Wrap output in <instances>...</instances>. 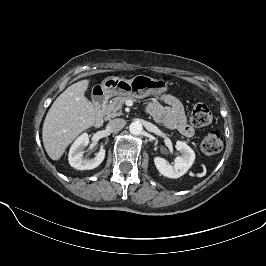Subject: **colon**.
Segmentation results:
<instances>
[{
    "instance_id": "5ec220e1",
    "label": "colon",
    "mask_w": 266,
    "mask_h": 266,
    "mask_svg": "<svg viewBox=\"0 0 266 266\" xmlns=\"http://www.w3.org/2000/svg\"><path fill=\"white\" fill-rule=\"evenodd\" d=\"M213 116L207 105L198 102L193 105L190 120L193 126L200 128L209 125ZM222 140L217 131L209 132L201 142V150L207 156L218 154L222 149Z\"/></svg>"
}]
</instances>
